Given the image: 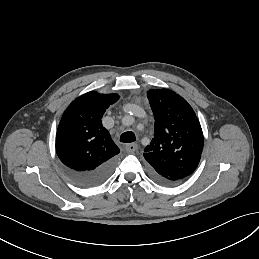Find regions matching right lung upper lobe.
Listing matches in <instances>:
<instances>
[{"label": "right lung upper lobe", "mask_w": 259, "mask_h": 259, "mask_svg": "<svg viewBox=\"0 0 259 259\" xmlns=\"http://www.w3.org/2000/svg\"><path fill=\"white\" fill-rule=\"evenodd\" d=\"M117 94L88 92L64 112L56 135V152L61 162L75 171L94 170L120 152L102 125V116Z\"/></svg>", "instance_id": "right-lung-upper-lobe-1"}]
</instances>
